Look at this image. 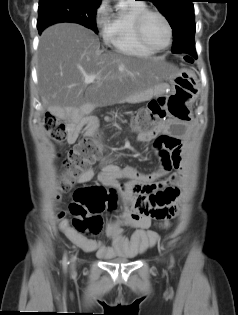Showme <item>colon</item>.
I'll use <instances>...</instances> for the list:
<instances>
[{
    "label": "colon",
    "mask_w": 238,
    "mask_h": 315,
    "mask_svg": "<svg viewBox=\"0 0 238 315\" xmlns=\"http://www.w3.org/2000/svg\"><path fill=\"white\" fill-rule=\"evenodd\" d=\"M165 98L151 101L148 106L138 112L133 119L132 127L136 132L154 131L166 116ZM44 126L52 140L62 144L66 139L67 127L64 122L48 114ZM102 149L101 140L96 133L83 136L68 152L64 160L65 172L61 177V185L67 188L70 182L81 172L91 166ZM115 190L100 187L78 189L74 193L71 211L76 216L73 220L75 229L79 232L96 234L101 228L97 216L105 209L112 210L116 206ZM86 216H89L86 218ZM167 222H165V225Z\"/></svg>",
    "instance_id": "colon-1"
}]
</instances>
